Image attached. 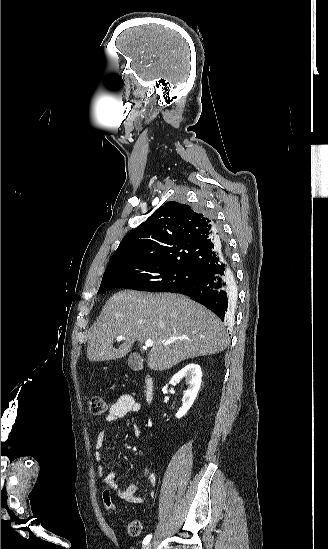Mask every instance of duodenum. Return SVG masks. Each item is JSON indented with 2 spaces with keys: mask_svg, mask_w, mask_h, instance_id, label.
<instances>
[{
  "mask_svg": "<svg viewBox=\"0 0 328 549\" xmlns=\"http://www.w3.org/2000/svg\"><path fill=\"white\" fill-rule=\"evenodd\" d=\"M144 395H145L146 401L149 404H152L154 402L155 385H154V380L150 375H147L144 379Z\"/></svg>",
  "mask_w": 328,
  "mask_h": 549,
  "instance_id": "obj_1",
  "label": "duodenum"
}]
</instances>
